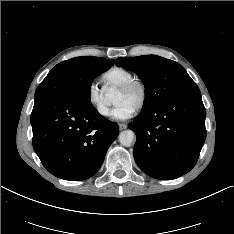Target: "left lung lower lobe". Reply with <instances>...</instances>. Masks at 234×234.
I'll return each mask as SVG.
<instances>
[{
    "mask_svg": "<svg viewBox=\"0 0 234 234\" xmlns=\"http://www.w3.org/2000/svg\"><path fill=\"white\" fill-rule=\"evenodd\" d=\"M206 111L198 86L192 85L139 113L128 124L137 137L134 159L151 177L171 180L196 164L206 138Z\"/></svg>",
    "mask_w": 234,
    "mask_h": 234,
    "instance_id": "0a47b994",
    "label": "left lung lower lobe"
}]
</instances>
